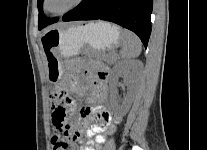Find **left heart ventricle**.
<instances>
[{
    "label": "left heart ventricle",
    "mask_w": 207,
    "mask_h": 150,
    "mask_svg": "<svg viewBox=\"0 0 207 150\" xmlns=\"http://www.w3.org/2000/svg\"><path fill=\"white\" fill-rule=\"evenodd\" d=\"M75 0H49L48 7L53 12H59L74 3Z\"/></svg>",
    "instance_id": "1"
}]
</instances>
